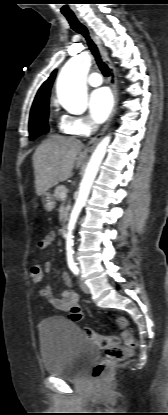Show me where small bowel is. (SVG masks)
Segmentation results:
<instances>
[{
	"label": "small bowel",
	"mask_w": 168,
	"mask_h": 415,
	"mask_svg": "<svg viewBox=\"0 0 168 415\" xmlns=\"http://www.w3.org/2000/svg\"><path fill=\"white\" fill-rule=\"evenodd\" d=\"M56 234L55 232H50L45 236V238L39 243L41 250H47L55 241ZM43 275L45 273H51L52 263L46 261L41 269ZM65 285L69 289L61 292L59 297L53 295L52 286L49 284L45 288H39L41 296L56 310H60L68 313V317L72 321H79L83 318V312L79 303L78 294L72 289V283L69 275L67 273H62L61 275ZM39 287V284H38Z\"/></svg>",
	"instance_id": "c3829d8e"
}]
</instances>
